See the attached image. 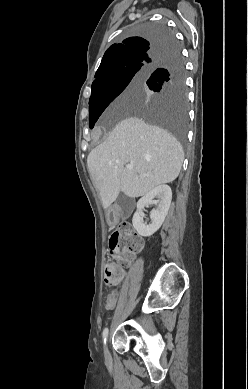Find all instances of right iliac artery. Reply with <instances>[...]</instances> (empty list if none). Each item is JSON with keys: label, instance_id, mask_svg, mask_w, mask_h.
<instances>
[{"label": "right iliac artery", "instance_id": "1", "mask_svg": "<svg viewBox=\"0 0 248 389\" xmlns=\"http://www.w3.org/2000/svg\"><path fill=\"white\" fill-rule=\"evenodd\" d=\"M102 335H103V341H104V343H106V339H107V336H108V328L104 329Z\"/></svg>", "mask_w": 248, "mask_h": 389}]
</instances>
